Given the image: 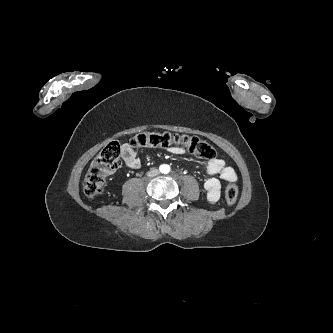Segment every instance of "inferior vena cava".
I'll return each instance as SVG.
<instances>
[{
	"mask_svg": "<svg viewBox=\"0 0 333 333\" xmlns=\"http://www.w3.org/2000/svg\"><path fill=\"white\" fill-rule=\"evenodd\" d=\"M158 174H159V170L156 168L147 172V176H149V177H154V176H157Z\"/></svg>",
	"mask_w": 333,
	"mask_h": 333,
	"instance_id": "inferior-vena-cava-1",
	"label": "inferior vena cava"
}]
</instances>
